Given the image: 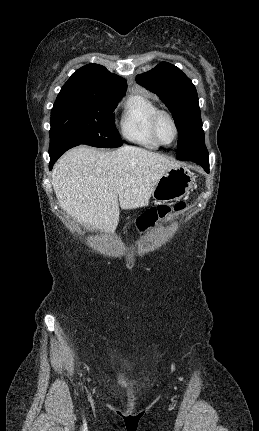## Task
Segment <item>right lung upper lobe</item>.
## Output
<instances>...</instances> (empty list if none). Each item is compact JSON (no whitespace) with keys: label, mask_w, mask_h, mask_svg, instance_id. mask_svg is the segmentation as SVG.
<instances>
[{"label":"right lung upper lobe","mask_w":259,"mask_h":431,"mask_svg":"<svg viewBox=\"0 0 259 431\" xmlns=\"http://www.w3.org/2000/svg\"><path fill=\"white\" fill-rule=\"evenodd\" d=\"M124 78L109 72L98 64H87L74 72L62 87L61 94L98 96L112 92H125Z\"/></svg>","instance_id":"obj_1"}]
</instances>
